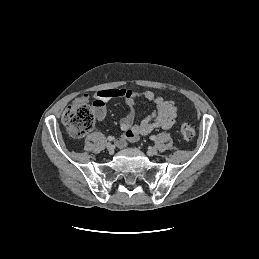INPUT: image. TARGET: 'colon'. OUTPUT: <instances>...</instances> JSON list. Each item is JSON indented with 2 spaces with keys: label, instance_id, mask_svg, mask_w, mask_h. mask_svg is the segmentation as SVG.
<instances>
[{
  "label": "colon",
  "instance_id": "5ec220e1",
  "mask_svg": "<svg viewBox=\"0 0 259 259\" xmlns=\"http://www.w3.org/2000/svg\"><path fill=\"white\" fill-rule=\"evenodd\" d=\"M62 122L71 135L82 137L94 127L95 114L86 103L73 104L63 112ZM180 134L184 140H191L195 135V128L191 123H183Z\"/></svg>",
  "mask_w": 259,
  "mask_h": 259
}]
</instances>
